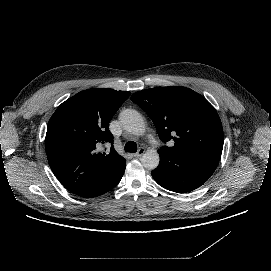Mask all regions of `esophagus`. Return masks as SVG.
<instances>
[{"mask_svg":"<svg viewBox=\"0 0 271 271\" xmlns=\"http://www.w3.org/2000/svg\"><path fill=\"white\" fill-rule=\"evenodd\" d=\"M145 153V148L141 147L136 153L133 154L134 157L139 158Z\"/></svg>","mask_w":271,"mask_h":271,"instance_id":"obj_1","label":"esophagus"}]
</instances>
